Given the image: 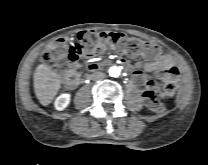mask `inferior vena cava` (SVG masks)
Listing matches in <instances>:
<instances>
[{"mask_svg": "<svg viewBox=\"0 0 208 165\" xmlns=\"http://www.w3.org/2000/svg\"><path fill=\"white\" fill-rule=\"evenodd\" d=\"M105 77V74L102 72H95L93 74L90 75V79L94 80V81H98L101 80Z\"/></svg>", "mask_w": 208, "mask_h": 165, "instance_id": "602c4592", "label": "inferior vena cava"}]
</instances>
